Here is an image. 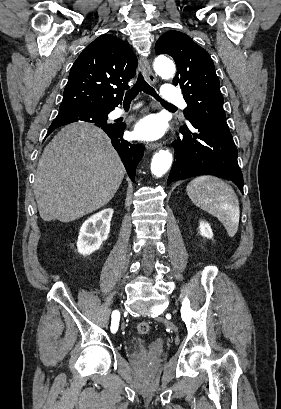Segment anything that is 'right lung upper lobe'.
Wrapping results in <instances>:
<instances>
[{"instance_id":"obj_1","label":"right lung upper lobe","mask_w":281,"mask_h":409,"mask_svg":"<svg viewBox=\"0 0 281 409\" xmlns=\"http://www.w3.org/2000/svg\"><path fill=\"white\" fill-rule=\"evenodd\" d=\"M136 67L137 58L125 42L112 35L98 37L74 62L60 109L113 110Z\"/></svg>"}]
</instances>
